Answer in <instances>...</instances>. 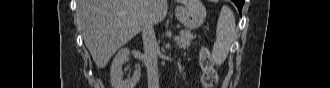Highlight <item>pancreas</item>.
Instances as JSON below:
<instances>
[{
  "label": "pancreas",
  "mask_w": 330,
  "mask_h": 88,
  "mask_svg": "<svg viewBox=\"0 0 330 88\" xmlns=\"http://www.w3.org/2000/svg\"><path fill=\"white\" fill-rule=\"evenodd\" d=\"M180 35L181 37L179 41H177L178 46L183 49L188 48L194 39V35L189 30H182Z\"/></svg>",
  "instance_id": "obj_1"
}]
</instances>
